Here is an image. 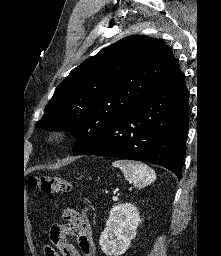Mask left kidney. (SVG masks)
<instances>
[{"label": "left kidney", "mask_w": 221, "mask_h": 256, "mask_svg": "<svg viewBox=\"0 0 221 256\" xmlns=\"http://www.w3.org/2000/svg\"><path fill=\"white\" fill-rule=\"evenodd\" d=\"M141 222L139 212L130 203L115 205L100 235L101 250L107 256H119L126 252Z\"/></svg>", "instance_id": "1"}]
</instances>
